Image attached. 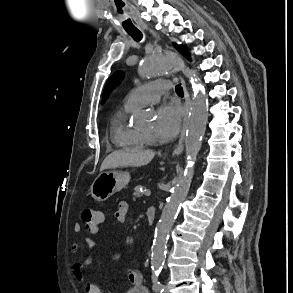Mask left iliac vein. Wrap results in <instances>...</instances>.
<instances>
[{
  "instance_id": "obj_1",
  "label": "left iliac vein",
  "mask_w": 293,
  "mask_h": 293,
  "mask_svg": "<svg viewBox=\"0 0 293 293\" xmlns=\"http://www.w3.org/2000/svg\"><path fill=\"white\" fill-rule=\"evenodd\" d=\"M164 293H169V288L167 285L164 286Z\"/></svg>"
}]
</instances>
